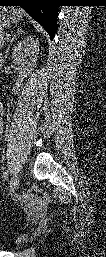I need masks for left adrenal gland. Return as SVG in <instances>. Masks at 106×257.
<instances>
[{"label":"left adrenal gland","instance_id":"left-adrenal-gland-1","mask_svg":"<svg viewBox=\"0 0 106 257\" xmlns=\"http://www.w3.org/2000/svg\"><path fill=\"white\" fill-rule=\"evenodd\" d=\"M22 33H23L22 30L17 29V32L13 35V37H12V39H11V41H10V43H9V45H8V47H7V49H6L5 58H7V55H8L9 49H10V45H12V42L14 41V39L17 37V35H20V34H22Z\"/></svg>","mask_w":106,"mask_h":257}]
</instances>
